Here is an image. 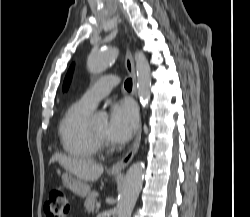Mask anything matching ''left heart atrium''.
Wrapping results in <instances>:
<instances>
[{"label": "left heart atrium", "mask_w": 250, "mask_h": 217, "mask_svg": "<svg viewBox=\"0 0 250 217\" xmlns=\"http://www.w3.org/2000/svg\"><path fill=\"white\" fill-rule=\"evenodd\" d=\"M138 127V112L129 100L112 104L107 124V138L114 143L123 144L130 140Z\"/></svg>", "instance_id": "1"}]
</instances>
